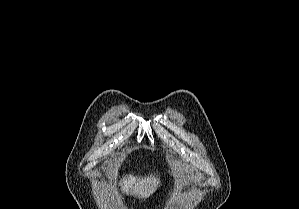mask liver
<instances>
[{
  "label": "liver",
  "instance_id": "6515ba94",
  "mask_svg": "<svg viewBox=\"0 0 299 209\" xmlns=\"http://www.w3.org/2000/svg\"><path fill=\"white\" fill-rule=\"evenodd\" d=\"M158 184L159 180L156 178L143 179L129 175L123 179L122 190L127 194L131 193L141 198H147L157 189Z\"/></svg>",
  "mask_w": 299,
  "mask_h": 209
}]
</instances>
